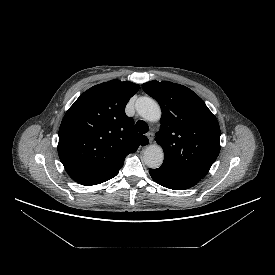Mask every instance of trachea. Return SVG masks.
Segmentation results:
<instances>
[{"label": "trachea", "mask_w": 275, "mask_h": 275, "mask_svg": "<svg viewBox=\"0 0 275 275\" xmlns=\"http://www.w3.org/2000/svg\"><path fill=\"white\" fill-rule=\"evenodd\" d=\"M148 125L145 121L143 120H138L136 122V130L142 134H145L148 132Z\"/></svg>", "instance_id": "3493384b"}]
</instances>
